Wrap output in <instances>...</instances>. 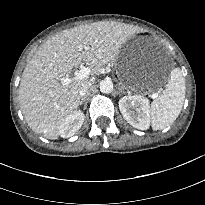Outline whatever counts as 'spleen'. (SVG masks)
I'll list each match as a JSON object with an SVG mask.
<instances>
[{
  "mask_svg": "<svg viewBox=\"0 0 205 205\" xmlns=\"http://www.w3.org/2000/svg\"><path fill=\"white\" fill-rule=\"evenodd\" d=\"M185 92V79L181 69H172L165 90L150 107L153 130H163L177 119L184 104Z\"/></svg>",
  "mask_w": 205,
  "mask_h": 205,
  "instance_id": "1",
  "label": "spleen"
}]
</instances>
